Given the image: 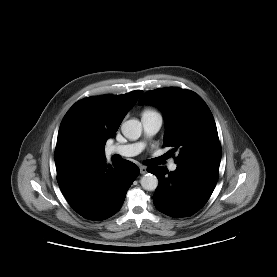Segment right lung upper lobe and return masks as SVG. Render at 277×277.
<instances>
[{
	"label": "right lung upper lobe",
	"mask_w": 277,
	"mask_h": 277,
	"mask_svg": "<svg viewBox=\"0 0 277 277\" xmlns=\"http://www.w3.org/2000/svg\"><path fill=\"white\" fill-rule=\"evenodd\" d=\"M143 91L82 99L64 116L57 138V175L106 160L104 148Z\"/></svg>",
	"instance_id": "1"
}]
</instances>
